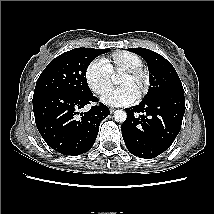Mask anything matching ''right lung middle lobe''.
<instances>
[{"label": "right lung middle lobe", "mask_w": 214, "mask_h": 214, "mask_svg": "<svg viewBox=\"0 0 214 214\" xmlns=\"http://www.w3.org/2000/svg\"><path fill=\"white\" fill-rule=\"evenodd\" d=\"M110 49L75 48L53 59L39 76L33 97L45 93L88 96L86 70L93 59Z\"/></svg>", "instance_id": "obj_1"}]
</instances>
